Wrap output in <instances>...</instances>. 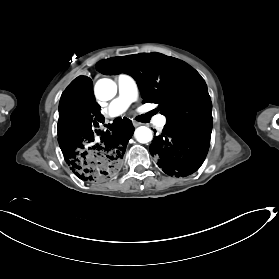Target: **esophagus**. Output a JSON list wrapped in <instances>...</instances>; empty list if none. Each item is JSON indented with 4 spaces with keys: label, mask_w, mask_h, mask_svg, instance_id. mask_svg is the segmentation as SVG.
<instances>
[{
    "label": "esophagus",
    "mask_w": 279,
    "mask_h": 279,
    "mask_svg": "<svg viewBox=\"0 0 279 279\" xmlns=\"http://www.w3.org/2000/svg\"><path fill=\"white\" fill-rule=\"evenodd\" d=\"M132 123H133V126H134V127H137V126H139V125H140V123H139V122H137V121H135V120H133V121H132Z\"/></svg>",
    "instance_id": "esophagus-1"
}]
</instances>
